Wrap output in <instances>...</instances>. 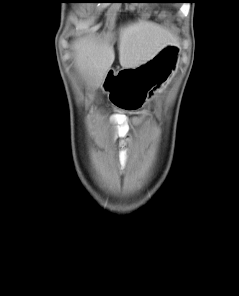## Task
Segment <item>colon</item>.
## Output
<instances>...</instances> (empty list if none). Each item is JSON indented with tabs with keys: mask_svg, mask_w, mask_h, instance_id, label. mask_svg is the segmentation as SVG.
Masks as SVG:
<instances>
[{
	"mask_svg": "<svg viewBox=\"0 0 239 296\" xmlns=\"http://www.w3.org/2000/svg\"><path fill=\"white\" fill-rule=\"evenodd\" d=\"M117 74H119V73H115V76H114V78H116V77H117Z\"/></svg>",
	"mask_w": 239,
	"mask_h": 296,
	"instance_id": "obj_1",
	"label": "colon"
}]
</instances>
